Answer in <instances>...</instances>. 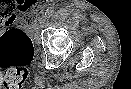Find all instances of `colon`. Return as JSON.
<instances>
[{"instance_id":"1","label":"colon","mask_w":131,"mask_h":89,"mask_svg":"<svg viewBox=\"0 0 131 89\" xmlns=\"http://www.w3.org/2000/svg\"><path fill=\"white\" fill-rule=\"evenodd\" d=\"M5 6L7 8L5 9ZM30 5L24 8L12 0H0V21L19 17L23 25L32 24L36 17L27 13ZM34 46L30 37L20 29L6 31L0 37V82L6 88L16 89L22 86L27 78V65L32 61Z\"/></svg>"}]
</instances>
